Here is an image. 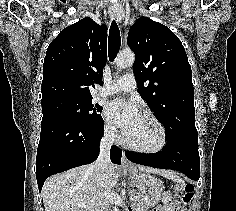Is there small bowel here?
Listing matches in <instances>:
<instances>
[{
  "label": "small bowel",
  "mask_w": 236,
  "mask_h": 211,
  "mask_svg": "<svg viewBox=\"0 0 236 211\" xmlns=\"http://www.w3.org/2000/svg\"><path fill=\"white\" fill-rule=\"evenodd\" d=\"M152 211H187V209L182 208V209L177 210V208L175 207V205L172 202L164 200L162 202L161 206L157 207L156 209H154Z\"/></svg>",
  "instance_id": "1"
}]
</instances>
